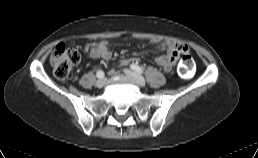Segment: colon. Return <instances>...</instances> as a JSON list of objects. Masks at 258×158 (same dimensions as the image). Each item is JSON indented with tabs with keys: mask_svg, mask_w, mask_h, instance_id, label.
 I'll list each match as a JSON object with an SVG mask.
<instances>
[{
	"mask_svg": "<svg viewBox=\"0 0 258 158\" xmlns=\"http://www.w3.org/2000/svg\"><path fill=\"white\" fill-rule=\"evenodd\" d=\"M82 56V50L72 44H59L50 57V64L54 76L59 80L69 77L72 69ZM194 62L189 55H184L178 67V73L183 78H190L193 74Z\"/></svg>",
	"mask_w": 258,
	"mask_h": 158,
	"instance_id": "obj_1",
	"label": "colon"
}]
</instances>
